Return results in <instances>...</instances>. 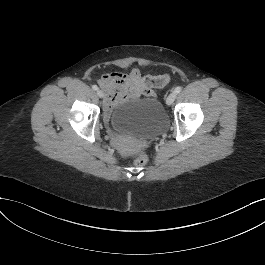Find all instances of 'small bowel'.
Returning <instances> with one entry per match:
<instances>
[{
  "instance_id": "obj_1",
  "label": "small bowel",
  "mask_w": 265,
  "mask_h": 265,
  "mask_svg": "<svg viewBox=\"0 0 265 265\" xmlns=\"http://www.w3.org/2000/svg\"><path fill=\"white\" fill-rule=\"evenodd\" d=\"M117 64L120 67H125L127 62L119 60ZM168 81L169 76L167 75H143L136 68L102 75L98 84L105 92V113L109 114L114 106L127 99L153 97L154 89L164 86Z\"/></svg>"
}]
</instances>
